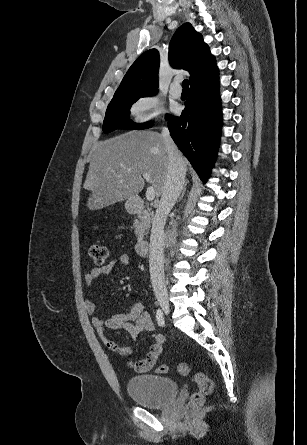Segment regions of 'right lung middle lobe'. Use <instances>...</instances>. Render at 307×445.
I'll list each match as a JSON object with an SVG mask.
<instances>
[{
	"label": "right lung middle lobe",
	"mask_w": 307,
	"mask_h": 445,
	"mask_svg": "<svg viewBox=\"0 0 307 445\" xmlns=\"http://www.w3.org/2000/svg\"><path fill=\"white\" fill-rule=\"evenodd\" d=\"M150 95L153 94L136 97H125L111 101L106 110V115L103 123V132L110 133L118 128L145 129L151 127V122L135 124L129 119V110L132 104L136 102L140 97ZM167 116L168 115H166V117Z\"/></svg>",
	"instance_id": "1"
}]
</instances>
